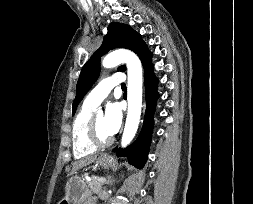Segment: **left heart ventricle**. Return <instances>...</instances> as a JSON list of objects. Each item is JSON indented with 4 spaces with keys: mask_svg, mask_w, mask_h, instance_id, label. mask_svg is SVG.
<instances>
[{
    "mask_svg": "<svg viewBox=\"0 0 253 204\" xmlns=\"http://www.w3.org/2000/svg\"><path fill=\"white\" fill-rule=\"evenodd\" d=\"M95 122H96L98 133L102 138H107L111 136L105 128V121H104L103 115H96Z\"/></svg>",
    "mask_w": 253,
    "mask_h": 204,
    "instance_id": "b2bd125f",
    "label": "left heart ventricle"
}]
</instances>
